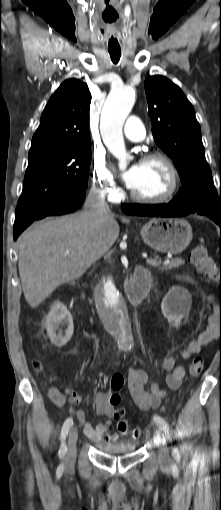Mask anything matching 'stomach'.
Returning a JSON list of instances; mask_svg holds the SVG:
<instances>
[{"label": "stomach", "mask_w": 221, "mask_h": 510, "mask_svg": "<svg viewBox=\"0 0 221 510\" xmlns=\"http://www.w3.org/2000/svg\"><path fill=\"white\" fill-rule=\"evenodd\" d=\"M141 236L157 251L179 254L192 240V228L184 219L154 218L142 227Z\"/></svg>", "instance_id": "obj_1"}]
</instances>
